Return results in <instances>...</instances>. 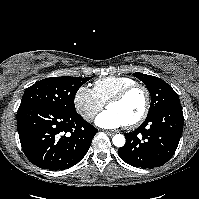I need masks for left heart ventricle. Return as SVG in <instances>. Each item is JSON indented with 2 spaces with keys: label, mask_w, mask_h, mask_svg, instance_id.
Segmentation results:
<instances>
[{
  "label": "left heart ventricle",
  "mask_w": 199,
  "mask_h": 199,
  "mask_svg": "<svg viewBox=\"0 0 199 199\" xmlns=\"http://www.w3.org/2000/svg\"><path fill=\"white\" fill-rule=\"evenodd\" d=\"M143 107L144 93L143 91L136 89L130 92L121 102L109 105L108 110L118 114L124 123L128 124L140 116Z\"/></svg>",
  "instance_id": "obj_1"
}]
</instances>
